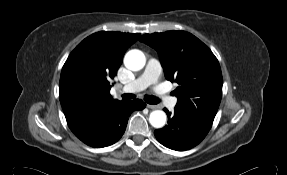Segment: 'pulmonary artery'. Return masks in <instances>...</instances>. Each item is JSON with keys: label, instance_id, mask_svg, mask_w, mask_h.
I'll return each mask as SVG.
<instances>
[{"label": "pulmonary artery", "instance_id": "e3ab8cb5", "mask_svg": "<svg viewBox=\"0 0 287 175\" xmlns=\"http://www.w3.org/2000/svg\"><path fill=\"white\" fill-rule=\"evenodd\" d=\"M160 73L161 65L159 61L155 58H149L143 73L131 83L123 86L121 90L129 93L142 91L148 86L157 83ZM176 102L175 98L168 100V104L171 107L175 106Z\"/></svg>", "mask_w": 287, "mask_h": 175}]
</instances>
